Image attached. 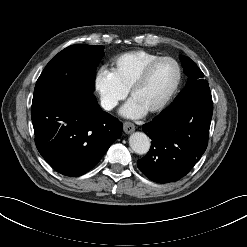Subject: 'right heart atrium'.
Listing matches in <instances>:
<instances>
[{
	"mask_svg": "<svg viewBox=\"0 0 247 247\" xmlns=\"http://www.w3.org/2000/svg\"><path fill=\"white\" fill-rule=\"evenodd\" d=\"M93 90L101 107L106 111L113 110L128 94V91L120 86L111 72L105 68L96 71L93 78Z\"/></svg>",
	"mask_w": 247,
	"mask_h": 247,
	"instance_id": "right-heart-atrium-1",
	"label": "right heart atrium"
}]
</instances>
